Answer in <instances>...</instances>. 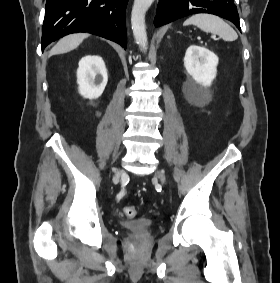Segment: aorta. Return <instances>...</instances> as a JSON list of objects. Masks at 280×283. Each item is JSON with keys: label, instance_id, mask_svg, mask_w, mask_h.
<instances>
[{"label": "aorta", "instance_id": "aorta-1", "mask_svg": "<svg viewBox=\"0 0 280 283\" xmlns=\"http://www.w3.org/2000/svg\"><path fill=\"white\" fill-rule=\"evenodd\" d=\"M154 0H134L131 12V26L136 43L143 49L147 48L145 14Z\"/></svg>", "mask_w": 280, "mask_h": 283}]
</instances>
